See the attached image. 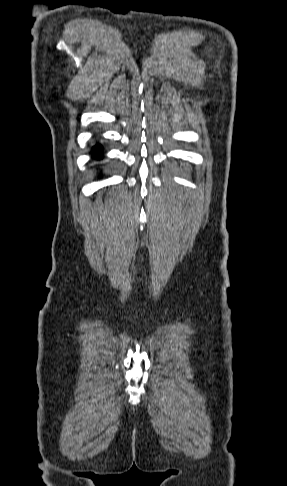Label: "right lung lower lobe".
<instances>
[{"instance_id":"98d812e1","label":"right lung lower lobe","mask_w":287,"mask_h":486,"mask_svg":"<svg viewBox=\"0 0 287 486\" xmlns=\"http://www.w3.org/2000/svg\"><path fill=\"white\" fill-rule=\"evenodd\" d=\"M101 148L99 146H95L93 149V155L96 156L97 158L101 157Z\"/></svg>"}]
</instances>
